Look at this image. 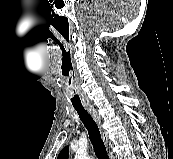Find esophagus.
I'll use <instances>...</instances> for the list:
<instances>
[{"mask_svg":"<svg viewBox=\"0 0 173 159\" xmlns=\"http://www.w3.org/2000/svg\"><path fill=\"white\" fill-rule=\"evenodd\" d=\"M88 111L90 112V114L92 115V117L94 118V120L96 121V123L98 124L99 129H100V131H101L102 139H103L104 143L107 144V135H106V132H105V131L103 130V128H102L101 118H100V116L98 115L96 109L93 108V107H89V108H88Z\"/></svg>","mask_w":173,"mask_h":159,"instance_id":"esophagus-1","label":"esophagus"}]
</instances>
